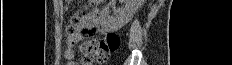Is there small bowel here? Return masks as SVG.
Segmentation results:
<instances>
[{
    "mask_svg": "<svg viewBox=\"0 0 232 65\" xmlns=\"http://www.w3.org/2000/svg\"><path fill=\"white\" fill-rule=\"evenodd\" d=\"M100 18L97 11H93L86 15L79 23L74 34L68 36L65 45L64 57L67 60V65H77L75 62V46L81 42L85 35H92L101 32ZM80 65H92L86 59L80 62Z\"/></svg>",
    "mask_w": 232,
    "mask_h": 65,
    "instance_id": "c3829d8e",
    "label": "small bowel"
}]
</instances>
